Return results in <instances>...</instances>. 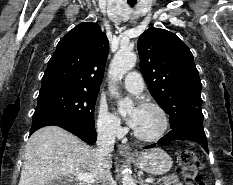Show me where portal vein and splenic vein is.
Segmentation results:
<instances>
[{"label": "portal vein and splenic vein", "mask_w": 233, "mask_h": 185, "mask_svg": "<svg viewBox=\"0 0 233 185\" xmlns=\"http://www.w3.org/2000/svg\"><path fill=\"white\" fill-rule=\"evenodd\" d=\"M76 178L82 182H86V183H91L93 184L95 182V179L94 177L87 173V172H81L79 174L76 175ZM145 182L146 183H153L154 182V179L153 178H147L145 179Z\"/></svg>", "instance_id": "portal-vein-and-splenic-vein-1"}]
</instances>
